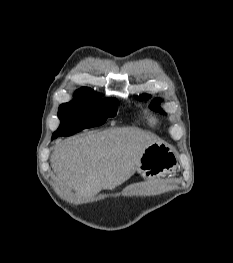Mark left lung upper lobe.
<instances>
[{
  "instance_id": "obj_1",
  "label": "left lung upper lobe",
  "mask_w": 233,
  "mask_h": 263,
  "mask_svg": "<svg viewBox=\"0 0 233 263\" xmlns=\"http://www.w3.org/2000/svg\"><path fill=\"white\" fill-rule=\"evenodd\" d=\"M151 96L147 95V94H142L140 96H137L138 100H147L149 99ZM160 100L159 99H155L152 101V103L150 104V108L154 111L160 112V113H164V111L158 106V102Z\"/></svg>"
}]
</instances>
